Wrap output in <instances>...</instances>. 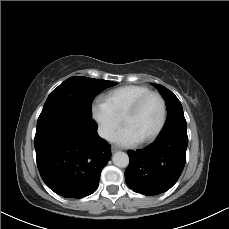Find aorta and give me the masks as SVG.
<instances>
[{"instance_id":"aorta-1","label":"aorta","mask_w":229,"mask_h":229,"mask_svg":"<svg viewBox=\"0 0 229 229\" xmlns=\"http://www.w3.org/2000/svg\"><path fill=\"white\" fill-rule=\"evenodd\" d=\"M113 163L117 166V167H120V168H125L128 166L129 164V157L126 153L124 152H116L114 155H113Z\"/></svg>"}]
</instances>
